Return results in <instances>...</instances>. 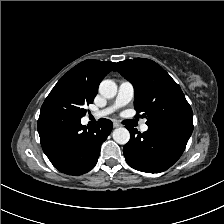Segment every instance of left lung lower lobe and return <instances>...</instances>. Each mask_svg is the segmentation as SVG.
I'll list each match as a JSON object with an SVG mask.
<instances>
[{
  "instance_id": "1",
  "label": "left lung lower lobe",
  "mask_w": 224,
  "mask_h": 224,
  "mask_svg": "<svg viewBox=\"0 0 224 224\" xmlns=\"http://www.w3.org/2000/svg\"><path fill=\"white\" fill-rule=\"evenodd\" d=\"M127 128L131 137L123 149L125 159L132 168L147 173L170 168L182 155L193 131V126L170 123L148 125L142 134Z\"/></svg>"
}]
</instances>
